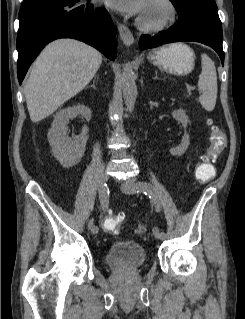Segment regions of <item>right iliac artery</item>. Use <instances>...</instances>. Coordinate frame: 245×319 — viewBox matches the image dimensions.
Here are the masks:
<instances>
[{
	"label": "right iliac artery",
	"mask_w": 245,
	"mask_h": 319,
	"mask_svg": "<svg viewBox=\"0 0 245 319\" xmlns=\"http://www.w3.org/2000/svg\"><path fill=\"white\" fill-rule=\"evenodd\" d=\"M100 197V203H101V207L103 210H106L108 208V201H109V190L107 188V185H104L103 188V194ZM93 233H97L98 232V227L94 226L92 229Z\"/></svg>",
	"instance_id": "1"
}]
</instances>
